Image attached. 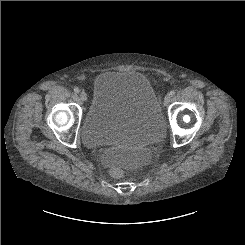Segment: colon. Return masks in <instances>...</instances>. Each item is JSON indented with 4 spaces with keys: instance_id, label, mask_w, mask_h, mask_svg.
<instances>
[{
    "instance_id": "obj_1",
    "label": "colon",
    "mask_w": 245,
    "mask_h": 245,
    "mask_svg": "<svg viewBox=\"0 0 245 245\" xmlns=\"http://www.w3.org/2000/svg\"><path fill=\"white\" fill-rule=\"evenodd\" d=\"M111 172L114 176L116 177H122L124 175V170L122 167L120 166H114L112 169H111Z\"/></svg>"
}]
</instances>
